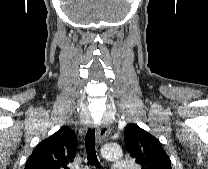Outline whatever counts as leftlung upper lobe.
<instances>
[{"label":"left lung upper lobe","mask_w":208,"mask_h":169,"mask_svg":"<svg viewBox=\"0 0 208 169\" xmlns=\"http://www.w3.org/2000/svg\"><path fill=\"white\" fill-rule=\"evenodd\" d=\"M124 140L131 157L142 169H172L159 140L136 124L125 128Z\"/></svg>","instance_id":"1"}]
</instances>
